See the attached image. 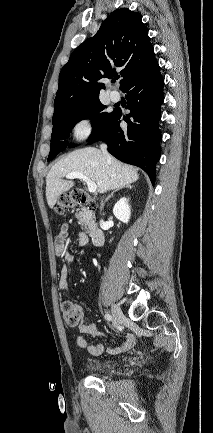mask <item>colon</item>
Instances as JSON below:
<instances>
[{
  "label": "colon",
  "mask_w": 213,
  "mask_h": 433,
  "mask_svg": "<svg viewBox=\"0 0 213 433\" xmlns=\"http://www.w3.org/2000/svg\"><path fill=\"white\" fill-rule=\"evenodd\" d=\"M76 206H86L92 210L96 208V200L83 189H74L61 195L55 210L58 214L63 215L71 208ZM63 319L70 327H76L82 319V310L80 306L72 301H64L61 305Z\"/></svg>",
  "instance_id": "1"
}]
</instances>
